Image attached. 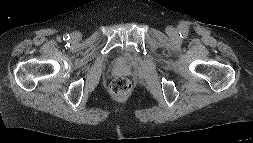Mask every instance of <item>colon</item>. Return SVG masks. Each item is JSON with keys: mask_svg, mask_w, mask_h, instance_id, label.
I'll return each mask as SVG.
<instances>
[{"mask_svg": "<svg viewBox=\"0 0 253 143\" xmlns=\"http://www.w3.org/2000/svg\"><path fill=\"white\" fill-rule=\"evenodd\" d=\"M130 81L123 76L116 77L111 83V92L114 95H123L129 92L130 90Z\"/></svg>", "mask_w": 253, "mask_h": 143, "instance_id": "colon-1", "label": "colon"}]
</instances>
